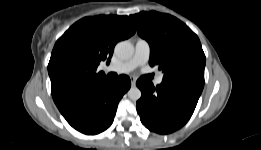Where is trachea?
<instances>
[{
  "instance_id": "trachea-1",
  "label": "trachea",
  "mask_w": 261,
  "mask_h": 150,
  "mask_svg": "<svg viewBox=\"0 0 261 150\" xmlns=\"http://www.w3.org/2000/svg\"><path fill=\"white\" fill-rule=\"evenodd\" d=\"M109 76H110V77H115L116 74H114V73H110Z\"/></svg>"
}]
</instances>
